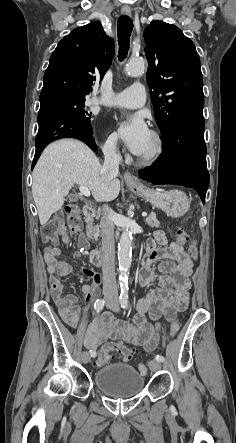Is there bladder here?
<instances>
[{"instance_id": "1", "label": "bladder", "mask_w": 236, "mask_h": 443, "mask_svg": "<svg viewBox=\"0 0 236 443\" xmlns=\"http://www.w3.org/2000/svg\"><path fill=\"white\" fill-rule=\"evenodd\" d=\"M94 383L107 396L124 399L142 390L144 376L130 365L110 364L95 372Z\"/></svg>"}]
</instances>
